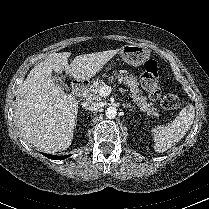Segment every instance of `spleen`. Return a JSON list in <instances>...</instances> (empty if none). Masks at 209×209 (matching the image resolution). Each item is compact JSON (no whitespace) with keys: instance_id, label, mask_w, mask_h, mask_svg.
Returning <instances> with one entry per match:
<instances>
[{"instance_id":"3e777b00","label":"spleen","mask_w":209,"mask_h":209,"mask_svg":"<svg viewBox=\"0 0 209 209\" xmlns=\"http://www.w3.org/2000/svg\"><path fill=\"white\" fill-rule=\"evenodd\" d=\"M195 117V108L189 104L168 125H160L152 129L154 150L163 153L178 143L190 129Z\"/></svg>"}]
</instances>
